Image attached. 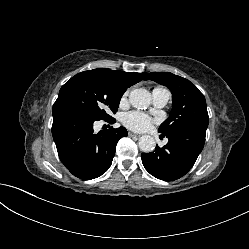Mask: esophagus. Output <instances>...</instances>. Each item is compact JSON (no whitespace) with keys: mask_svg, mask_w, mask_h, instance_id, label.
<instances>
[{"mask_svg":"<svg viewBox=\"0 0 249 249\" xmlns=\"http://www.w3.org/2000/svg\"><path fill=\"white\" fill-rule=\"evenodd\" d=\"M128 135H129L130 137H139V136H140L139 134L133 133V132H129Z\"/></svg>","mask_w":249,"mask_h":249,"instance_id":"esophagus-1","label":"esophagus"}]
</instances>
